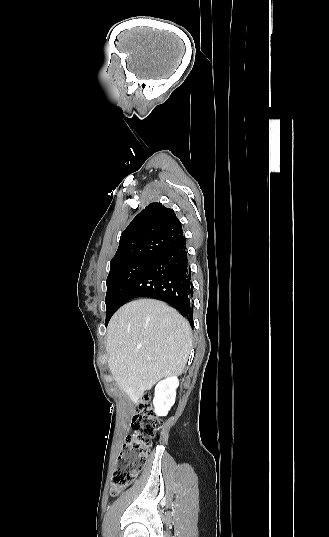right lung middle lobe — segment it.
<instances>
[{
    "label": "right lung middle lobe",
    "instance_id": "right-lung-middle-lobe-1",
    "mask_svg": "<svg viewBox=\"0 0 329 537\" xmlns=\"http://www.w3.org/2000/svg\"><path fill=\"white\" fill-rule=\"evenodd\" d=\"M151 262L152 260H134L125 263L109 272L106 281V326L111 316L121 305L125 292Z\"/></svg>",
    "mask_w": 329,
    "mask_h": 537
}]
</instances>
